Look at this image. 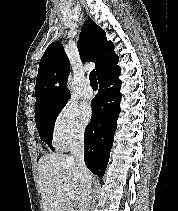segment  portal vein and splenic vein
<instances>
[{
  "label": "portal vein and splenic vein",
  "mask_w": 178,
  "mask_h": 211,
  "mask_svg": "<svg viewBox=\"0 0 178 211\" xmlns=\"http://www.w3.org/2000/svg\"><path fill=\"white\" fill-rule=\"evenodd\" d=\"M64 192L67 194V196L71 199V200H76V197L73 193L69 192V190L67 188H64Z\"/></svg>",
  "instance_id": "1"
}]
</instances>
